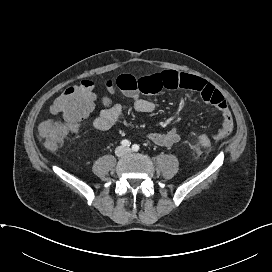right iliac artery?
Segmentation results:
<instances>
[{"instance_id": "right-iliac-artery-1", "label": "right iliac artery", "mask_w": 272, "mask_h": 272, "mask_svg": "<svg viewBox=\"0 0 272 272\" xmlns=\"http://www.w3.org/2000/svg\"><path fill=\"white\" fill-rule=\"evenodd\" d=\"M121 144H122L123 146H130V145H131V142H130L129 140H127V139H124V140L121 141Z\"/></svg>"}]
</instances>
